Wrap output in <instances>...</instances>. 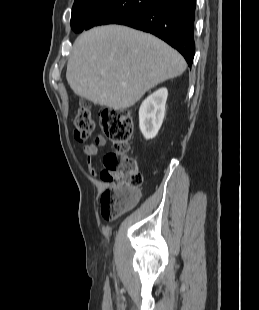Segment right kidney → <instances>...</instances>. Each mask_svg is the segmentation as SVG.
Instances as JSON below:
<instances>
[{
	"label": "right kidney",
	"instance_id": "right-kidney-1",
	"mask_svg": "<svg viewBox=\"0 0 259 310\" xmlns=\"http://www.w3.org/2000/svg\"><path fill=\"white\" fill-rule=\"evenodd\" d=\"M167 96V89L160 88L147 97L140 106L139 126L146 139L154 138L162 125Z\"/></svg>",
	"mask_w": 259,
	"mask_h": 310
}]
</instances>
